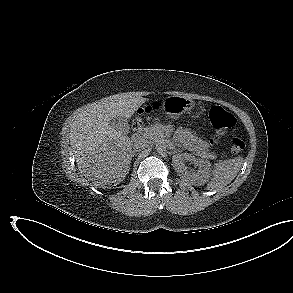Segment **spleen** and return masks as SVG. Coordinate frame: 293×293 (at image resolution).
<instances>
[{"label": "spleen", "mask_w": 293, "mask_h": 293, "mask_svg": "<svg viewBox=\"0 0 293 293\" xmlns=\"http://www.w3.org/2000/svg\"><path fill=\"white\" fill-rule=\"evenodd\" d=\"M242 164V157H235L223 161L220 160L215 163L211 174V180L207 184V189L216 191L230 184L237 176Z\"/></svg>", "instance_id": "spleen-1"}]
</instances>
